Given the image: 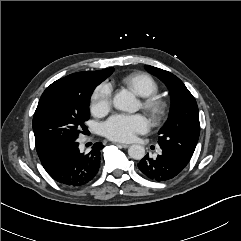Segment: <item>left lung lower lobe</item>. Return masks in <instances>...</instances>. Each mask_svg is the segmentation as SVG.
<instances>
[{"label": "left lung lower lobe", "instance_id": "left-lung-lower-lobe-1", "mask_svg": "<svg viewBox=\"0 0 241 241\" xmlns=\"http://www.w3.org/2000/svg\"><path fill=\"white\" fill-rule=\"evenodd\" d=\"M162 149V148H161ZM187 164L166 149L156 158H150L148 154L138 163L140 171L154 181H167L182 172Z\"/></svg>", "mask_w": 241, "mask_h": 241}]
</instances>
